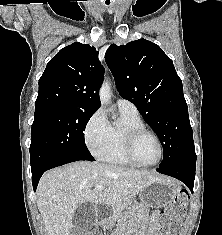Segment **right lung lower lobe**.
I'll use <instances>...</instances> for the list:
<instances>
[{"label": "right lung lower lobe", "instance_id": "obj_1", "mask_svg": "<svg viewBox=\"0 0 222 235\" xmlns=\"http://www.w3.org/2000/svg\"><path fill=\"white\" fill-rule=\"evenodd\" d=\"M78 160H87V159H82V158L56 159V160H52V161H49V162L45 163L44 165H42L41 167H39L37 169L32 170V183H33L34 191L36 190L38 182H39L42 174L45 171H47L51 168L61 166V165H64L66 163L75 162V161H78ZM89 161H94V160H89Z\"/></svg>", "mask_w": 222, "mask_h": 235}]
</instances>
